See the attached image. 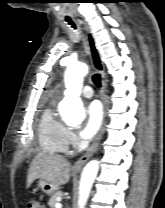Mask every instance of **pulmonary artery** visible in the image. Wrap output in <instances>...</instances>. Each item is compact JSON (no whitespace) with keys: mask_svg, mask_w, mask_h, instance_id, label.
Here are the masks:
<instances>
[{"mask_svg":"<svg viewBox=\"0 0 165 208\" xmlns=\"http://www.w3.org/2000/svg\"><path fill=\"white\" fill-rule=\"evenodd\" d=\"M81 95H82V97H84V98H91V97H93V95H94V91H93V89H92V87L91 86H84L83 87V89H82V91H81Z\"/></svg>","mask_w":165,"mask_h":208,"instance_id":"e3ab8cb5","label":"pulmonary artery"}]
</instances>
